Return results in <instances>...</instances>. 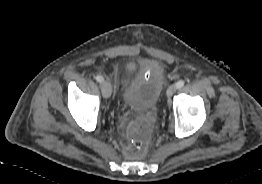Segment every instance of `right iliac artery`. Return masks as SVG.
<instances>
[{
    "mask_svg": "<svg viewBox=\"0 0 262 184\" xmlns=\"http://www.w3.org/2000/svg\"><path fill=\"white\" fill-rule=\"evenodd\" d=\"M96 80L99 82V83H103L104 82V78L100 75H97L96 76Z\"/></svg>",
    "mask_w": 262,
    "mask_h": 184,
    "instance_id": "obj_1",
    "label": "right iliac artery"
}]
</instances>
